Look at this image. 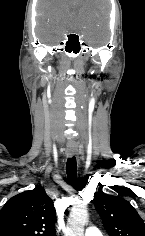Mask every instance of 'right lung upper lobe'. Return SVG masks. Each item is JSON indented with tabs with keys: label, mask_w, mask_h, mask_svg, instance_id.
Here are the masks:
<instances>
[{
	"label": "right lung upper lobe",
	"mask_w": 145,
	"mask_h": 236,
	"mask_svg": "<svg viewBox=\"0 0 145 236\" xmlns=\"http://www.w3.org/2000/svg\"><path fill=\"white\" fill-rule=\"evenodd\" d=\"M56 211L38 186L9 199L0 210V236H56Z\"/></svg>",
	"instance_id": "obj_1"
}]
</instances>
